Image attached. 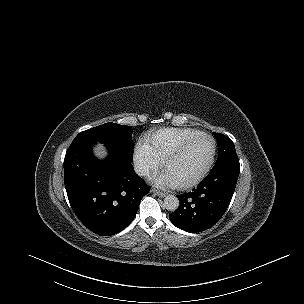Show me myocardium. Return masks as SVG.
<instances>
[{
  "label": "myocardium",
  "mask_w": 304,
  "mask_h": 304,
  "mask_svg": "<svg viewBox=\"0 0 304 304\" xmlns=\"http://www.w3.org/2000/svg\"><path fill=\"white\" fill-rule=\"evenodd\" d=\"M202 138H208L211 140L212 142V153L211 156L208 160V162L206 163L205 167L202 169V171L193 179L187 181V182H182V183H176L175 187L179 188V189H187L190 187H193L195 185H197L198 183H200L205 176L208 174V172L210 171L214 160H215V156H216V150H217V144L215 139L206 133H201L189 140H187L186 142L182 143L181 145H179L176 149H174L166 158L165 162H164V171L165 173H167V169L169 167V164L176 158L178 157L184 150H186L190 145H192L193 143L197 142L198 140L202 139Z\"/></svg>",
  "instance_id": "1"
}]
</instances>
